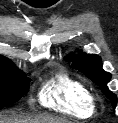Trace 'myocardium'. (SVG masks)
Listing matches in <instances>:
<instances>
[{
	"mask_svg": "<svg viewBox=\"0 0 118 123\" xmlns=\"http://www.w3.org/2000/svg\"><path fill=\"white\" fill-rule=\"evenodd\" d=\"M91 104H92V106L94 107V109H95V106H96V99L92 96L91 97Z\"/></svg>",
	"mask_w": 118,
	"mask_h": 123,
	"instance_id": "f54148a6",
	"label": "myocardium"
}]
</instances>
